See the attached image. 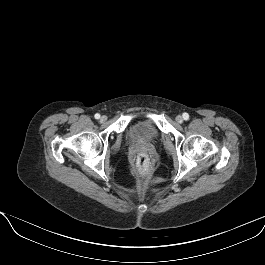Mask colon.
I'll return each mask as SVG.
<instances>
[{"label":"colon","instance_id":"1","mask_svg":"<svg viewBox=\"0 0 265 265\" xmlns=\"http://www.w3.org/2000/svg\"><path fill=\"white\" fill-rule=\"evenodd\" d=\"M136 168L138 172L142 175H145L150 170V161L148 157L144 154L138 155L136 159Z\"/></svg>","mask_w":265,"mask_h":265}]
</instances>
